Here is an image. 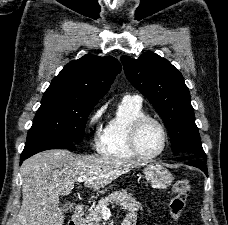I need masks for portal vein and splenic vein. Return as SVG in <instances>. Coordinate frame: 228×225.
Instances as JSON below:
<instances>
[{"mask_svg": "<svg viewBox=\"0 0 228 225\" xmlns=\"http://www.w3.org/2000/svg\"><path fill=\"white\" fill-rule=\"evenodd\" d=\"M96 177H93V179H88V177H78L77 181L78 183H84V181H94ZM102 215H107V213H110L108 207H101Z\"/></svg>", "mask_w": 228, "mask_h": 225, "instance_id": "obj_1", "label": "portal vein and splenic vein"}]
</instances>
